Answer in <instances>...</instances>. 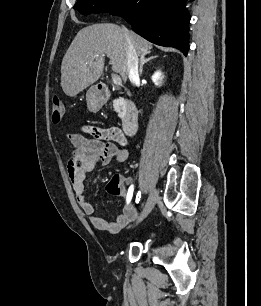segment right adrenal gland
Instances as JSON below:
<instances>
[{"label":"right adrenal gland","instance_id":"obj_1","mask_svg":"<svg viewBox=\"0 0 261 306\" xmlns=\"http://www.w3.org/2000/svg\"><path fill=\"white\" fill-rule=\"evenodd\" d=\"M158 56H151L149 58H145V57H141V60H140V68H139V74L142 75V71H143V66L150 62L151 60L157 58Z\"/></svg>","mask_w":261,"mask_h":306}]
</instances>
